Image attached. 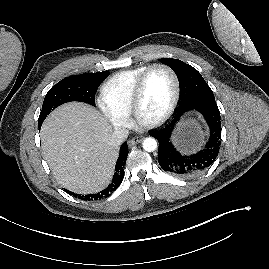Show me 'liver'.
I'll use <instances>...</instances> for the list:
<instances>
[{"mask_svg":"<svg viewBox=\"0 0 269 269\" xmlns=\"http://www.w3.org/2000/svg\"><path fill=\"white\" fill-rule=\"evenodd\" d=\"M112 126L92 106L72 102L60 106L43 123L44 157L57 182L77 193L104 189L119 154L110 143Z\"/></svg>","mask_w":269,"mask_h":269,"instance_id":"6515ba94","label":"liver"}]
</instances>
